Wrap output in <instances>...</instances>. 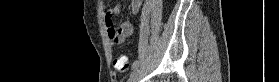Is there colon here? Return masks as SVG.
I'll return each mask as SVG.
<instances>
[{"label": "colon", "instance_id": "obj_1", "mask_svg": "<svg viewBox=\"0 0 279 82\" xmlns=\"http://www.w3.org/2000/svg\"><path fill=\"white\" fill-rule=\"evenodd\" d=\"M114 67L118 72L125 73L129 68V59L124 54H119L114 58Z\"/></svg>", "mask_w": 279, "mask_h": 82}]
</instances>
